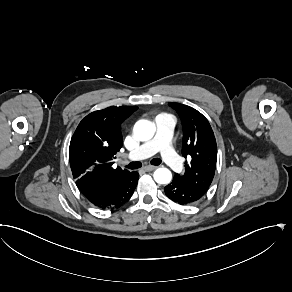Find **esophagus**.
<instances>
[{
  "label": "esophagus",
  "mask_w": 292,
  "mask_h": 292,
  "mask_svg": "<svg viewBox=\"0 0 292 292\" xmlns=\"http://www.w3.org/2000/svg\"><path fill=\"white\" fill-rule=\"evenodd\" d=\"M157 167L156 166H151V165H147L143 167V170L146 172H151L153 170H155Z\"/></svg>",
  "instance_id": "34e87169"
}]
</instances>
